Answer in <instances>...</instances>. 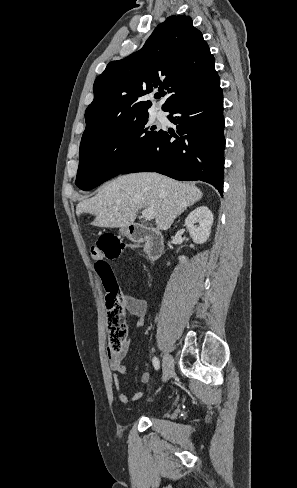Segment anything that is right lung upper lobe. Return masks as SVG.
<instances>
[{
  "label": "right lung upper lobe",
  "instance_id": "obj_1",
  "mask_svg": "<svg viewBox=\"0 0 297 488\" xmlns=\"http://www.w3.org/2000/svg\"><path fill=\"white\" fill-rule=\"evenodd\" d=\"M216 77L214 57L192 19L171 16L139 51L110 62L96 78L82 139L107 134L149 116L151 102L143 100L146 94L165 88L169 97L162 109L169 111Z\"/></svg>",
  "mask_w": 297,
  "mask_h": 488
}]
</instances>
